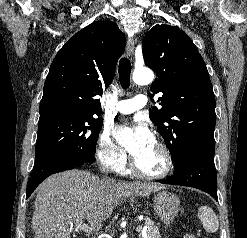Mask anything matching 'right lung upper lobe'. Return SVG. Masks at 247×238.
Wrapping results in <instances>:
<instances>
[{
  "mask_svg": "<svg viewBox=\"0 0 247 238\" xmlns=\"http://www.w3.org/2000/svg\"><path fill=\"white\" fill-rule=\"evenodd\" d=\"M125 35L111 21L77 32L56 54L46 78L39 123L100 114L103 88L111 84Z\"/></svg>",
  "mask_w": 247,
  "mask_h": 238,
  "instance_id": "cb5924a9",
  "label": "right lung upper lobe"
}]
</instances>
